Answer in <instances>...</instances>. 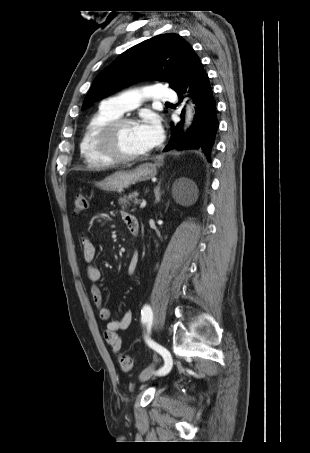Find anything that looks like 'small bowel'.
<instances>
[{
  "instance_id": "obj_1",
  "label": "small bowel",
  "mask_w": 310,
  "mask_h": 453,
  "mask_svg": "<svg viewBox=\"0 0 310 453\" xmlns=\"http://www.w3.org/2000/svg\"><path fill=\"white\" fill-rule=\"evenodd\" d=\"M121 216L128 229L130 227L139 226L137 219L132 214L124 211L121 213ZM81 243H82V257L84 262L87 264L86 275L88 280L94 284L91 287V296L100 319L103 321H107V326L104 331V339L114 353H119L122 347V342L118 335V332L128 329L132 322V312L130 311L125 312L124 315L117 320L110 319L111 313L109 309L104 306L101 291L95 285L102 278L101 270L97 266L92 265V261L95 256V246L84 235H82L81 237ZM138 262L139 253L137 251H134L130 257L127 268L128 276L134 274Z\"/></svg>"
}]
</instances>
